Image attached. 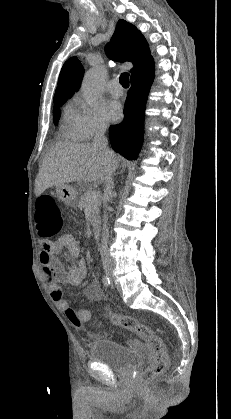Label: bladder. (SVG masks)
<instances>
[{"label": "bladder", "instance_id": "bladder-1", "mask_svg": "<svg viewBox=\"0 0 231 419\" xmlns=\"http://www.w3.org/2000/svg\"><path fill=\"white\" fill-rule=\"evenodd\" d=\"M90 358L118 373H128L145 362L142 354L109 339L94 341L90 347Z\"/></svg>", "mask_w": 231, "mask_h": 419}]
</instances>
